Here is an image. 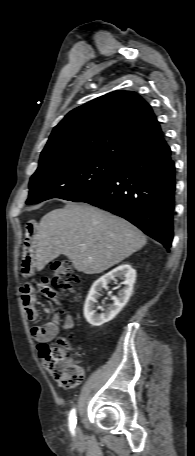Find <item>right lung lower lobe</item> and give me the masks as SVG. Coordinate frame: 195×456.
I'll use <instances>...</instances> for the list:
<instances>
[{"label":"right lung lower lobe","mask_w":195,"mask_h":456,"mask_svg":"<svg viewBox=\"0 0 195 456\" xmlns=\"http://www.w3.org/2000/svg\"><path fill=\"white\" fill-rule=\"evenodd\" d=\"M175 165L168 145L121 163L94 190L72 200L123 217L169 250L173 239Z\"/></svg>","instance_id":"98d812e1"}]
</instances>
